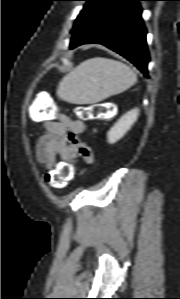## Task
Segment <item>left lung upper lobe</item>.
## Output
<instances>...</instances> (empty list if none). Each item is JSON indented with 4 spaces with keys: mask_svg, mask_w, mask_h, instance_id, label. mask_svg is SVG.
<instances>
[{
    "mask_svg": "<svg viewBox=\"0 0 180 299\" xmlns=\"http://www.w3.org/2000/svg\"><path fill=\"white\" fill-rule=\"evenodd\" d=\"M82 1H86V4L84 5L82 11L80 12L79 16L77 17L75 24L73 26V29L71 31V33L73 34L74 31L76 30V28L78 27V25L80 24L81 20L83 19L84 15L86 14V12L88 11V9L92 6V4L96 1V0H82Z\"/></svg>",
    "mask_w": 180,
    "mask_h": 299,
    "instance_id": "1",
    "label": "left lung upper lobe"
}]
</instances>
